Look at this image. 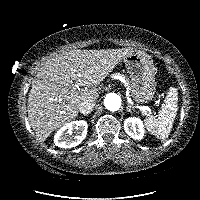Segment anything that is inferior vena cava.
Returning <instances> with one entry per match:
<instances>
[{
	"label": "inferior vena cava",
	"instance_id": "602c4592",
	"mask_svg": "<svg viewBox=\"0 0 200 200\" xmlns=\"http://www.w3.org/2000/svg\"><path fill=\"white\" fill-rule=\"evenodd\" d=\"M94 106H95L94 101L91 100V99H87V100H84L81 103V105L79 107V111L82 114H88V113H90L93 110Z\"/></svg>",
	"mask_w": 200,
	"mask_h": 200
}]
</instances>
